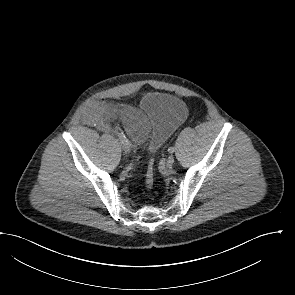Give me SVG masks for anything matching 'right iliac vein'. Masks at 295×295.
<instances>
[{"instance_id": "1", "label": "right iliac vein", "mask_w": 295, "mask_h": 295, "mask_svg": "<svg viewBox=\"0 0 295 295\" xmlns=\"http://www.w3.org/2000/svg\"><path fill=\"white\" fill-rule=\"evenodd\" d=\"M122 147H123V150L126 154H129L130 153V150H131V144L130 142L127 140L126 142L122 143Z\"/></svg>"}]
</instances>
